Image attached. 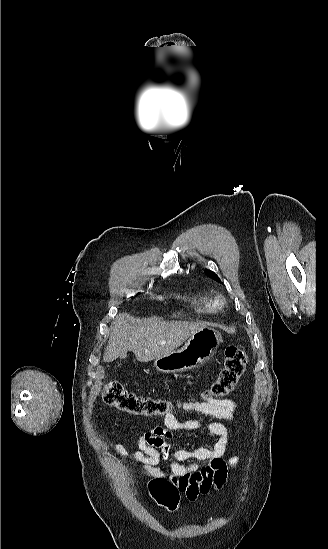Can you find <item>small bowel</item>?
<instances>
[{
    "label": "small bowel",
    "mask_w": 328,
    "mask_h": 549,
    "mask_svg": "<svg viewBox=\"0 0 328 549\" xmlns=\"http://www.w3.org/2000/svg\"><path fill=\"white\" fill-rule=\"evenodd\" d=\"M238 403L232 399H215L186 402L185 412H197L210 416L216 421L203 422L198 419L178 420L176 412L165 415L164 425L155 426L136 437L138 451L129 453L121 443L112 445L114 452L133 465L141 462L138 473L168 479L178 486L188 500L194 501L199 495L211 489H220L227 480L228 471L237 466L239 456L233 454L224 458L227 451L229 431L224 422L235 424V411ZM205 430L216 436L211 448L173 450L168 440L174 431L194 432Z\"/></svg>",
    "instance_id": "c3829d8e"
}]
</instances>
